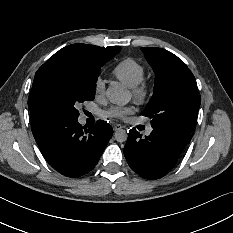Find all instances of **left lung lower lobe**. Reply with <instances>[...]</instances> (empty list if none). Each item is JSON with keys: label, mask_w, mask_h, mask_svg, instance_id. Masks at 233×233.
<instances>
[{"label": "left lung lower lobe", "mask_w": 233, "mask_h": 233, "mask_svg": "<svg viewBox=\"0 0 233 233\" xmlns=\"http://www.w3.org/2000/svg\"><path fill=\"white\" fill-rule=\"evenodd\" d=\"M191 140V133L153 129L145 138L132 128L124 147L125 158L138 175L148 180L165 176Z\"/></svg>", "instance_id": "obj_1"}]
</instances>
